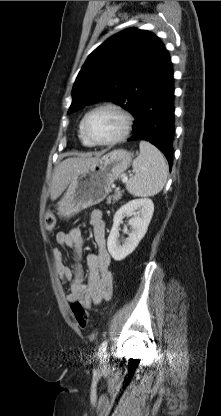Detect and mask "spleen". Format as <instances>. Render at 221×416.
Here are the masks:
<instances>
[{
  "instance_id": "spleen-1",
  "label": "spleen",
  "mask_w": 221,
  "mask_h": 416,
  "mask_svg": "<svg viewBox=\"0 0 221 416\" xmlns=\"http://www.w3.org/2000/svg\"><path fill=\"white\" fill-rule=\"evenodd\" d=\"M140 154L133 161L135 175L126 183L127 191L136 197L154 196L159 193L168 175L163 154L151 143L141 141Z\"/></svg>"
}]
</instances>
